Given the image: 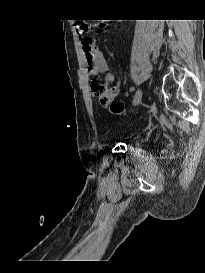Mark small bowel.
Returning <instances> with one entry per match:
<instances>
[{"instance_id": "1", "label": "small bowel", "mask_w": 205, "mask_h": 273, "mask_svg": "<svg viewBox=\"0 0 205 273\" xmlns=\"http://www.w3.org/2000/svg\"><path fill=\"white\" fill-rule=\"evenodd\" d=\"M80 44L89 73L93 76L104 74L106 81L113 83L114 76L109 72L108 62L99 50L96 41L89 37H82Z\"/></svg>"}]
</instances>
